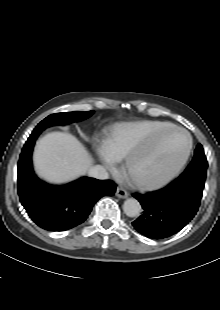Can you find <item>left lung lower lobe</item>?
Segmentation results:
<instances>
[{
    "instance_id": "obj_1",
    "label": "left lung lower lobe",
    "mask_w": 220,
    "mask_h": 310,
    "mask_svg": "<svg viewBox=\"0 0 220 310\" xmlns=\"http://www.w3.org/2000/svg\"><path fill=\"white\" fill-rule=\"evenodd\" d=\"M205 180L178 177L165 188L133 196L143 213L132 225L142 235L162 239L179 232L198 211Z\"/></svg>"
}]
</instances>
